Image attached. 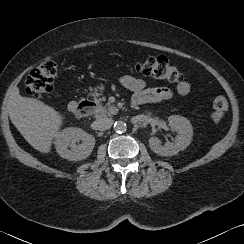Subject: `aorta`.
Here are the masks:
<instances>
[{"instance_id":"aorta-1","label":"aorta","mask_w":244,"mask_h":244,"mask_svg":"<svg viewBox=\"0 0 244 244\" xmlns=\"http://www.w3.org/2000/svg\"><path fill=\"white\" fill-rule=\"evenodd\" d=\"M127 129L126 123L123 121H116L114 123V130L118 133H123Z\"/></svg>"}]
</instances>
